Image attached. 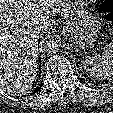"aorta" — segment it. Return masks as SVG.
Returning <instances> with one entry per match:
<instances>
[{"label":"aorta","instance_id":"762f6f07","mask_svg":"<svg viewBox=\"0 0 113 113\" xmlns=\"http://www.w3.org/2000/svg\"><path fill=\"white\" fill-rule=\"evenodd\" d=\"M62 46L61 38L58 35H49L43 41V48L48 53H56Z\"/></svg>","mask_w":113,"mask_h":113}]
</instances>
